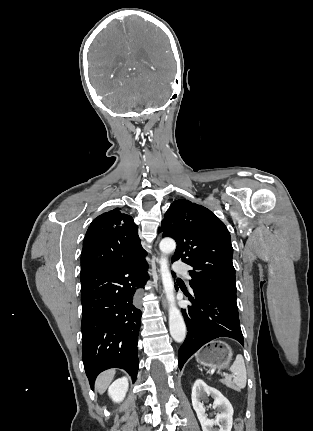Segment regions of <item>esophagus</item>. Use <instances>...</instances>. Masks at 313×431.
Wrapping results in <instances>:
<instances>
[{"label":"esophagus","mask_w":313,"mask_h":431,"mask_svg":"<svg viewBox=\"0 0 313 431\" xmlns=\"http://www.w3.org/2000/svg\"><path fill=\"white\" fill-rule=\"evenodd\" d=\"M162 304H163V307L166 309L167 308V302H166V300L164 298L162 300Z\"/></svg>","instance_id":"obj_1"}]
</instances>
